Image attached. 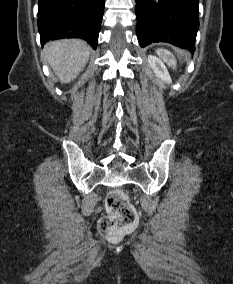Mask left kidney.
Returning <instances> with one entry per match:
<instances>
[{"label":"left kidney","instance_id":"left-kidney-1","mask_svg":"<svg viewBox=\"0 0 233 284\" xmlns=\"http://www.w3.org/2000/svg\"><path fill=\"white\" fill-rule=\"evenodd\" d=\"M148 62H149L150 67L153 69L157 78L161 79L162 81L166 83H171V78L168 73V70L166 66L164 65V63L161 61V59H159L156 56L149 55Z\"/></svg>","mask_w":233,"mask_h":284}]
</instances>
